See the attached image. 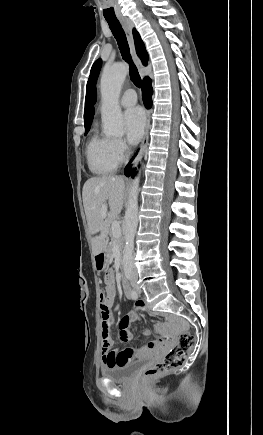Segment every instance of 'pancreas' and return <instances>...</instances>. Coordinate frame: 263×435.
I'll list each match as a JSON object with an SVG mask.
<instances>
[{
    "label": "pancreas",
    "mask_w": 263,
    "mask_h": 435,
    "mask_svg": "<svg viewBox=\"0 0 263 435\" xmlns=\"http://www.w3.org/2000/svg\"><path fill=\"white\" fill-rule=\"evenodd\" d=\"M112 234V236H111V242L109 243V246H108V250H109V252L111 253V251H112V248H113V246L114 245H118V246H121V236H119V237H115L114 235H113V233H111Z\"/></svg>",
    "instance_id": "cf45deb5"
}]
</instances>
